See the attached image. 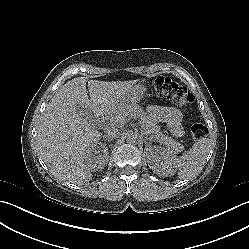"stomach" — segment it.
Returning a JSON list of instances; mask_svg holds the SVG:
<instances>
[{
  "mask_svg": "<svg viewBox=\"0 0 249 249\" xmlns=\"http://www.w3.org/2000/svg\"><path fill=\"white\" fill-rule=\"evenodd\" d=\"M147 92V88L143 84L135 85L127 94L126 100L128 102H137L140 101L144 94Z\"/></svg>",
  "mask_w": 249,
  "mask_h": 249,
  "instance_id": "obj_1",
  "label": "stomach"
}]
</instances>
